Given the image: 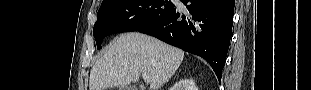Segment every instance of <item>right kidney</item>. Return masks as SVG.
I'll list each match as a JSON object with an SVG mask.
<instances>
[{
  "instance_id": "ca27d5eb",
  "label": "right kidney",
  "mask_w": 311,
  "mask_h": 90,
  "mask_svg": "<svg viewBox=\"0 0 311 90\" xmlns=\"http://www.w3.org/2000/svg\"><path fill=\"white\" fill-rule=\"evenodd\" d=\"M177 90H197L194 80H182L176 85Z\"/></svg>"
}]
</instances>
